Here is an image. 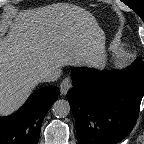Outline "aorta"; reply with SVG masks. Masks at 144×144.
I'll return each instance as SVG.
<instances>
[{
    "mask_svg": "<svg viewBox=\"0 0 144 144\" xmlns=\"http://www.w3.org/2000/svg\"><path fill=\"white\" fill-rule=\"evenodd\" d=\"M70 104L67 100L59 99L52 106V113L57 118H64L70 113Z\"/></svg>",
    "mask_w": 144,
    "mask_h": 144,
    "instance_id": "762f6f07",
    "label": "aorta"
}]
</instances>
